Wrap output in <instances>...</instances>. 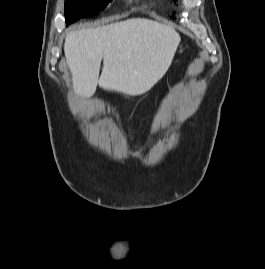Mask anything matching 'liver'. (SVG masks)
I'll return each instance as SVG.
<instances>
[{
  "mask_svg": "<svg viewBox=\"0 0 265 269\" xmlns=\"http://www.w3.org/2000/svg\"><path fill=\"white\" fill-rule=\"evenodd\" d=\"M179 42L172 27L144 18L72 31L65 38L64 53L73 88L82 97L92 96L97 85L142 95L164 76Z\"/></svg>",
  "mask_w": 265,
  "mask_h": 269,
  "instance_id": "1",
  "label": "liver"
}]
</instances>
